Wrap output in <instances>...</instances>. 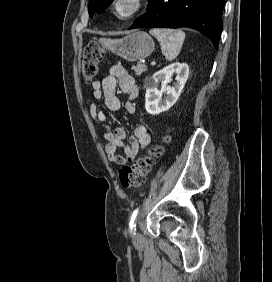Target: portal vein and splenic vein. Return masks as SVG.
Listing matches in <instances>:
<instances>
[{"mask_svg": "<svg viewBox=\"0 0 272 282\" xmlns=\"http://www.w3.org/2000/svg\"><path fill=\"white\" fill-rule=\"evenodd\" d=\"M155 64H156V62H155V61H152V62H151V65H155Z\"/></svg>", "mask_w": 272, "mask_h": 282, "instance_id": "portal-vein-and-splenic-vein-1", "label": "portal vein and splenic vein"}]
</instances>
